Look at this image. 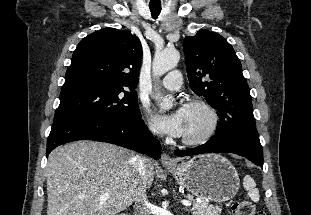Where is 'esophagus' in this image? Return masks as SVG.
Listing matches in <instances>:
<instances>
[{
    "label": "esophagus",
    "instance_id": "obj_1",
    "mask_svg": "<svg viewBox=\"0 0 311 215\" xmlns=\"http://www.w3.org/2000/svg\"><path fill=\"white\" fill-rule=\"evenodd\" d=\"M160 162L164 166H173V165H175V161L167 153H163L162 154Z\"/></svg>",
    "mask_w": 311,
    "mask_h": 215
}]
</instances>
